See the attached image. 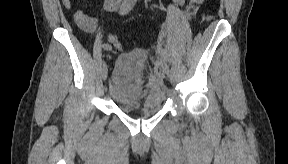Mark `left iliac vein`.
Listing matches in <instances>:
<instances>
[{
	"instance_id": "left-iliac-vein-1",
	"label": "left iliac vein",
	"mask_w": 288,
	"mask_h": 164,
	"mask_svg": "<svg viewBox=\"0 0 288 164\" xmlns=\"http://www.w3.org/2000/svg\"><path fill=\"white\" fill-rule=\"evenodd\" d=\"M167 69H168L167 64H166L165 61H163V62H162V65H161V70H162V72H163V73H166V72H167Z\"/></svg>"
}]
</instances>
